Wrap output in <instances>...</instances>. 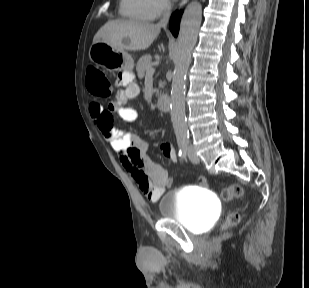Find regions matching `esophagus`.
Listing matches in <instances>:
<instances>
[{
    "instance_id": "34e87169",
    "label": "esophagus",
    "mask_w": 309,
    "mask_h": 288,
    "mask_svg": "<svg viewBox=\"0 0 309 288\" xmlns=\"http://www.w3.org/2000/svg\"><path fill=\"white\" fill-rule=\"evenodd\" d=\"M187 2H188V0H182L180 5H179V8H182Z\"/></svg>"
}]
</instances>
